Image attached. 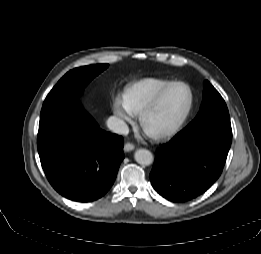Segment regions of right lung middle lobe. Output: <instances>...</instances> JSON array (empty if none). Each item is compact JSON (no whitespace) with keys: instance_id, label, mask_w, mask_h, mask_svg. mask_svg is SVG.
<instances>
[{"instance_id":"dd1d6c3e","label":"right lung middle lobe","mask_w":261,"mask_h":254,"mask_svg":"<svg viewBox=\"0 0 261 254\" xmlns=\"http://www.w3.org/2000/svg\"><path fill=\"white\" fill-rule=\"evenodd\" d=\"M107 67L108 64H98L79 67L69 71L53 87L44 103L80 95L84 87Z\"/></svg>"}]
</instances>
